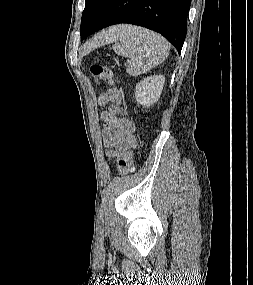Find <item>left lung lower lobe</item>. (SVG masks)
Here are the masks:
<instances>
[{"mask_svg": "<svg viewBox=\"0 0 253 285\" xmlns=\"http://www.w3.org/2000/svg\"><path fill=\"white\" fill-rule=\"evenodd\" d=\"M190 0H111L89 35L110 25L129 23L162 34L181 52Z\"/></svg>", "mask_w": 253, "mask_h": 285, "instance_id": "1", "label": "left lung lower lobe"}]
</instances>
